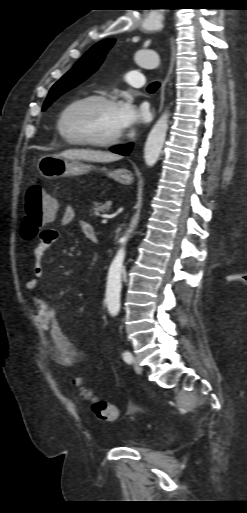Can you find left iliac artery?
I'll list each match as a JSON object with an SVG mask.
<instances>
[{
	"label": "left iliac artery",
	"mask_w": 247,
	"mask_h": 513,
	"mask_svg": "<svg viewBox=\"0 0 247 513\" xmlns=\"http://www.w3.org/2000/svg\"><path fill=\"white\" fill-rule=\"evenodd\" d=\"M122 356H123V359H124L125 362H127L129 364L132 363L133 356H132V354L129 351H127V350L124 351Z\"/></svg>",
	"instance_id": "obj_1"
}]
</instances>
